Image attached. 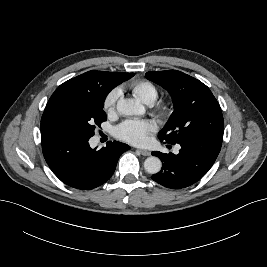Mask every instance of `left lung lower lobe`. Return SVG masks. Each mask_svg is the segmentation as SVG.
<instances>
[{
	"label": "left lung lower lobe",
	"instance_id": "0a47b994",
	"mask_svg": "<svg viewBox=\"0 0 267 267\" xmlns=\"http://www.w3.org/2000/svg\"><path fill=\"white\" fill-rule=\"evenodd\" d=\"M177 155L152 152L162 161V169L152 179L170 189H182L199 181L212 167L222 145L221 137H198L178 143Z\"/></svg>",
	"mask_w": 267,
	"mask_h": 267
}]
</instances>
